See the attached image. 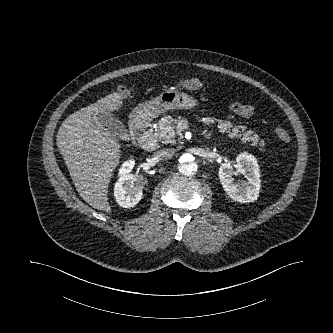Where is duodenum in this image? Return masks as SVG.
<instances>
[{
    "label": "duodenum",
    "instance_id": "1",
    "mask_svg": "<svg viewBox=\"0 0 333 333\" xmlns=\"http://www.w3.org/2000/svg\"><path fill=\"white\" fill-rule=\"evenodd\" d=\"M134 142L142 149L152 151L157 147V138L153 131L152 122L145 113L137 116L131 126Z\"/></svg>",
    "mask_w": 333,
    "mask_h": 333
}]
</instances>
